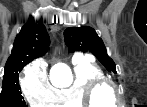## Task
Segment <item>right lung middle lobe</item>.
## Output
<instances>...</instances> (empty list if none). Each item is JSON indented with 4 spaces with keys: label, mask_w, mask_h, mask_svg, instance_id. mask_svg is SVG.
I'll use <instances>...</instances> for the list:
<instances>
[{
    "label": "right lung middle lobe",
    "mask_w": 147,
    "mask_h": 107,
    "mask_svg": "<svg viewBox=\"0 0 147 107\" xmlns=\"http://www.w3.org/2000/svg\"><path fill=\"white\" fill-rule=\"evenodd\" d=\"M31 61L32 60L22 63L19 72ZM19 72L4 77L2 92L0 94V107H27L26 103L23 101V96L21 95L18 79Z\"/></svg>",
    "instance_id": "dd1d6c3e"
}]
</instances>
